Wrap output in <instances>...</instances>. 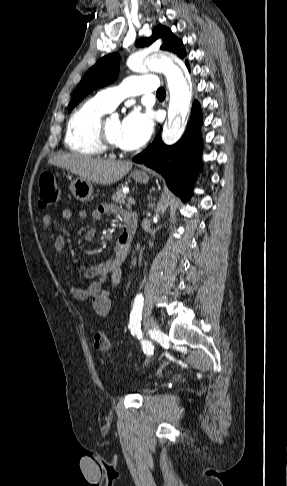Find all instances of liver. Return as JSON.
Returning a JSON list of instances; mask_svg holds the SVG:
<instances>
[{
	"label": "liver",
	"mask_w": 287,
	"mask_h": 486,
	"mask_svg": "<svg viewBox=\"0 0 287 486\" xmlns=\"http://www.w3.org/2000/svg\"><path fill=\"white\" fill-rule=\"evenodd\" d=\"M48 164L64 168L82 179L102 185L119 181L133 166L131 161L103 160L79 154H58L50 158Z\"/></svg>",
	"instance_id": "liver-1"
}]
</instances>
